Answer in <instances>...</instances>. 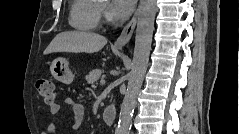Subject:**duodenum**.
I'll list each match as a JSON object with an SVG mask.
<instances>
[{"mask_svg": "<svg viewBox=\"0 0 239 134\" xmlns=\"http://www.w3.org/2000/svg\"><path fill=\"white\" fill-rule=\"evenodd\" d=\"M116 119V109L113 105H107L103 112V121L106 125L111 126Z\"/></svg>", "mask_w": 239, "mask_h": 134, "instance_id": "duodenum-1", "label": "duodenum"}]
</instances>
